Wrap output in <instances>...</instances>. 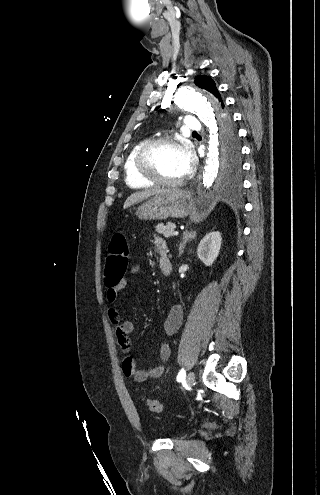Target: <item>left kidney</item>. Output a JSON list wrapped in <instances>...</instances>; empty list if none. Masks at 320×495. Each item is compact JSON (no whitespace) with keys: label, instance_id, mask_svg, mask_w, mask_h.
<instances>
[{"label":"left kidney","instance_id":"obj_1","mask_svg":"<svg viewBox=\"0 0 320 495\" xmlns=\"http://www.w3.org/2000/svg\"><path fill=\"white\" fill-rule=\"evenodd\" d=\"M222 245V236L220 232L208 233L199 243L197 255L199 259L207 266L213 264L219 255Z\"/></svg>","mask_w":320,"mask_h":495}]
</instances>
